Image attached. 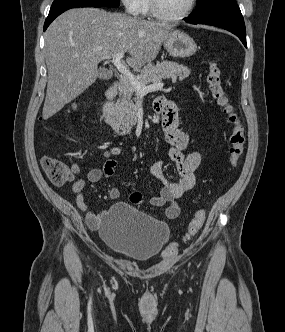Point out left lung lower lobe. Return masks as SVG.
Wrapping results in <instances>:
<instances>
[{"label":"left lung lower lobe","mask_w":285,"mask_h":332,"mask_svg":"<svg viewBox=\"0 0 285 332\" xmlns=\"http://www.w3.org/2000/svg\"><path fill=\"white\" fill-rule=\"evenodd\" d=\"M186 22L192 24H207L216 27H220L230 31L231 33L235 34L239 37L245 47L246 44V30H245V23L242 16H228V17H220L214 19H192V18H185Z\"/></svg>","instance_id":"1"}]
</instances>
